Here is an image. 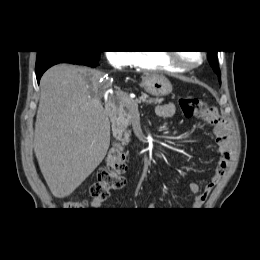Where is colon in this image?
<instances>
[{"label": "colon", "mask_w": 260, "mask_h": 260, "mask_svg": "<svg viewBox=\"0 0 260 260\" xmlns=\"http://www.w3.org/2000/svg\"><path fill=\"white\" fill-rule=\"evenodd\" d=\"M178 105L186 118H202L206 113L215 114L214 109L207 108L203 101L198 98L181 97L178 100ZM126 170L125 156L118 152L109 153L97 180L89 186L88 195L92 198H107L110 190L121 188L124 185L123 174ZM64 207L68 210H83L85 203L68 200L64 203Z\"/></svg>", "instance_id": "obj_1"}]
</instances>
